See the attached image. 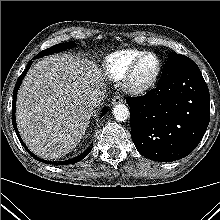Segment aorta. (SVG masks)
Here are the masks:
<instances>
[{"instance_id":"1","label":"aorta","mask_w":220,"mask_h":220,"mask_svg":"<svg viewBox=\"0 0 220 220\" xmlns=\"http://www.w3.org/2000/svg\"><path fill=\"white\" fill-rule=\"evenodd\" d=\"M113 116L117 121L124 122L129 118V110L124 104H118L113 108Z\"/></svg>"}]
</instances>
